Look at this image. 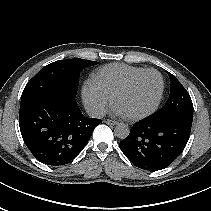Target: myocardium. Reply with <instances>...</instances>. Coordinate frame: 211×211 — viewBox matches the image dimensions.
<instances>
[{"label": "myocardium", "mask_w": 211, "mask_h": 211, "mask_svg": "<svg viewBox=\"0 0 211 211\" xmlns=\"http://www.w3.org/2000/svg\"><path fill=\"white\" fill-rule=\"evenodd\" d=\"M156 73L161 81V87H160V92L158 95V98L156 100V102L154 103V105L147 111L140 113V114H136V115H127V118L131 119V120H141L144 119L150 115H152L159 107L163 95H164V90H165V80L163 75L161 74V72H159L156 69L153 68H149V69H145L141 72H139L138 74L134 75L133 77H131L123 86H121L113 95V102L116 104L117 99L122 96L123 94H125L126 92H128L132 86L145 74L147 73Z\"/></svg>", "instance_id": "obj_1"}]
</instances>
